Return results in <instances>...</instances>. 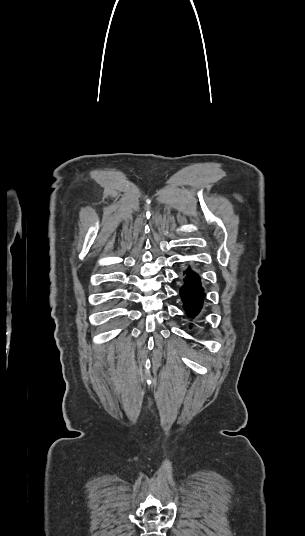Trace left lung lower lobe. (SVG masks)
<instances>
[{
	"instance_id": "0a47b994",
	"label": "left lung lower lobe",
	"mask_w": 305,
	"mask_h": 536,
	"mask_svg": "<svg viewBox=\"0 0 305 536\" xmlns=\"http://www.w3.org/2000/svg\"><path fill=\"white\" fill-rule=\"evenodd\" d=\"M184 274H186L185 284L180 288V296L185 312L189 317H194L200 312L204 300L201 279L190 267L184 271Z\"/></svg>"
}]
</instances>
